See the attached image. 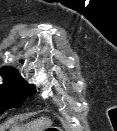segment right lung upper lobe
I'll use <instances>...</instances> for the list:
<instances>
[{"mask_svg":"<svg viewBox=\"0 0 117 131\" xmlns=\"http://www.w3.org/2000/svg\"><path fill=\"white\" fill-rule=\"evenodd\" d=\"M8 69H13V68H10V67H3L1 70H8Z\"/></svg>","mask_w":117,"mask_h":131,"instance_id":"obj_1","label":"right lung upper lobe"}]
</instances>
